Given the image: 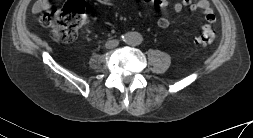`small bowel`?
Wrapping results in <instances>:
<instances>
[{
	"instance_id": "small-bowel-1",
	"label": "small bowel",
	"mask_w": 253,
	"mask_h": 138,
	"mask_svg": "<svg viewBox=\"0 0 253 138\" xmlns=\"http://www.w3.org/2000/svg\"><path fill=\"white\" fill-rule=\"evenodd\" d=\"M145 2L152 4L154 7L164 10L170 5L168 0H145ZM51 0H37L34 4V12L42 13L49 9ZM183 8H188L191 11L201 10L204 15L205 23L202 25V30L210 29L215 23L214 12L207 0H181L173 5V10L179 13ZM157 27L161 30H165L169 27V21L165 17H160L157 20Z\"/></svg>"
}]
</instances>
